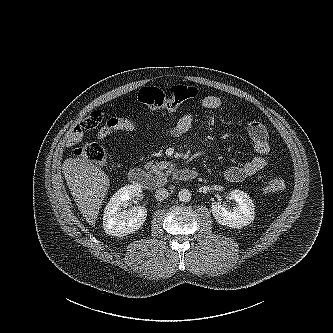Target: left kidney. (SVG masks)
I'll return each mask as SVG.
<instances>
[{
	"mask_svg": "<svg viewBox=\"0 0 333 333\" xmlns=\"http://www.w3.org/2000/svg\"><path fill=\"white\" fill-rule=\"evenodd\" d=\"M230 197L235 200L233 209L228 208L220 201L213 202L211 211L215 220L230 228H241L249 225L254 220L255 208L250 196L241 190H233Z\"/></svg>",
	"mask_w": 333,
	"mask_h": 333,
	"instance_id": "5707ae66",
	"label": "left kidney"
}]
</instances>
